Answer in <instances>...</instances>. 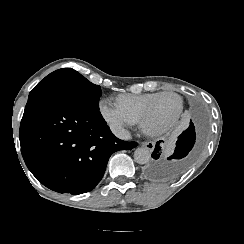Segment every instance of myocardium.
Listing matches in <instances>:
<instances>
[{"instance_id": "obj_1", "label": "myocardium", "mask_w": 244, "mask_h": 244, "mask_svg": "<svg viewBox=\"0 0 244 244\" xmlns=\"http://www.w3.org/2000/svg\"><path fill=\"white\" fill-rule=\"evenodd\" d=\"M165 95H170V96H174L177 101H178V105L176 107V109L174 110V112L170 115L169 118L165 119L163 117V115H158L157 113L155 114V117H158L159 116V119L161 120V122L165 125V126H168L170 125L174 119L176 118V116L178 115V113L181 111L182 109V106H183V100L181 98L180 95H178L177 93L173 92V91H166V92H163V93H160L158 95H152V99H150L149 103H148V106H147V112H152V108L155 104V100H157V98L159 97H162V96H165Z\"/></svg>"}]
</instances>
